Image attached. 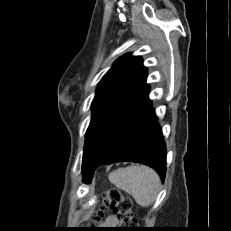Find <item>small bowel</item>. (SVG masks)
Wrapping results in <instances>:
<instances>
[{"mask_svg": "<svg viewBox=\"0 0 231 231\" xmlns=\"http://www.w3.org/2000/svg\"><path fill=\"white\" fill-rule=\"evenodd\" d=\"M116 224H118V219L116 216L111 215L106 218L107 226H115Z\"/></svg>", "mask_w": 231, "mask_h": 231, "instance_id": "c3829d8e", "label": "small bowel"}]
</instances>
